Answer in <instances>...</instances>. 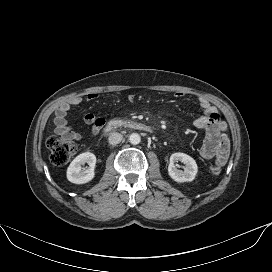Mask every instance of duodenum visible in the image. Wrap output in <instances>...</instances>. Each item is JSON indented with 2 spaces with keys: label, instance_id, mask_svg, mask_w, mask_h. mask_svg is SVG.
<instances>
[{
  "label": "duodenum",
  "instance_id": "410a0bca",
  "mask_svg": "<svg viewBox=\"0 0 272 272\" xmlns=\"http://www.w3.org/2000/svg\"><path fill=\"white\" fill-rule=\"evenodd\" d=\"M119 128H129L133 130H139L144 132H151L152 128L142 122L137 121H130V120H119V119H113L107 122L105 125V132L109 133Z\"/></svg>",
  "mask_w": 272,
  "mask_h": 272
}]
</instances>
